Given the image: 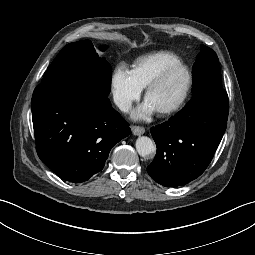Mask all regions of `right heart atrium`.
I'll list each match as a JSON object with an SVG mask.
<instances>
[{
  "label": "right heart atrium",
  "instance_id": "obj_1",
  "mask_svg": "<svg viewBox=\"0 0 255 255\" xmlns=\"http://www.w3.org/2000/svg\"><path fill=\"white\" fill-rule=\"evenodd\" d=\"M111 85L113 99L122 110H127L140 97L143 89L133 71L123 64L115 68Z\"/></svg>",
  "mask_w": 255,
  "mask_h": 255
}]
</instances>
